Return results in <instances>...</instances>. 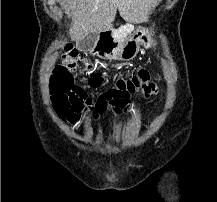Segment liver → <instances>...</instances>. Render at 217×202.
Returning <instances> with one entry per match:
<instances>
[{
  "instance_id": "6515ba94",
  "label": "liver",
  "mask_w": 217,
  "mask_h": 202,
  "mask_svg": "<svg viewBox=\"0 0 217 202\" xmlns=\"http://www.w3.org/2000/svg\"><path fill=\"white\" fill-rule=\"evenodd\" d=\"M72 16L71 40L81 42L85 36L112 28L118 10L121 18L130 24L148 22L162 0H59Z\"/></svg>"
}]
</instances>
